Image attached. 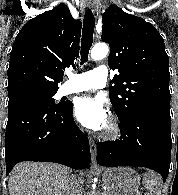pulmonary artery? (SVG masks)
I'll return each mask as SVG.
<instances>
[{"instance_id": "pulmonary-artery-1", "label": "pulmonary artery", "mask_w": 178, "mask_h": 195, "mask_svg": "<svg viewBox=\"0 0 178 195\" xmlns=\"http://www.w3.org/2000/svg\"><path fill=\"white\" fill-rule=\"evenodd\" d=\"M108 79V70L99 66L80 74L70 73L68 80L61 86L60 95H68L93 88H103Z\"/></svg>"}]
</instances>
